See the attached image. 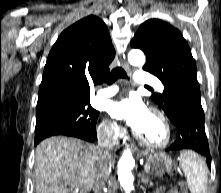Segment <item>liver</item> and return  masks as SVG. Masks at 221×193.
<instances>
[{
  "label": "liver",
  "mask_w": 221,
  "mask_h": 193,
  "mask_svg": "<svg viewBox=\"0 0 221 193\" xmlns=\"http://www.w3.org/2000/svg\"><path fill=\"white\" fill-rule=\"evenodd\" d=\"M99 150L76 138L51 137L36 148V193H88L95 183ZM114 161L111 159L112 166Z\"/></svg>",
  "instance_id": "liver-1"
}]
</instances>
